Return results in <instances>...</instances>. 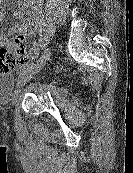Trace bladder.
<instances>
[{
	"mask_svg": "<svg viewBox=\"0 0 133 173\" xmlns=\"http://www.w3.org/2000/svg\"><path fill=\"white\" fill-rule=\"evenodd\" d=\"M14 76L12 73L0 75V98L5 99L12 91Z\"/></svg>",
	"mask_w": 133,
	"mask_h": 173,
	"instance_id": "obj_1",
	"label": "bladder"
}]
</instances>
